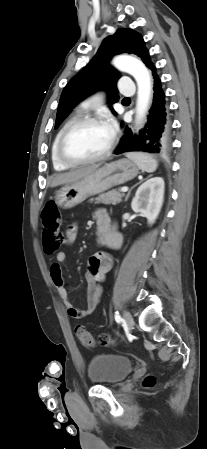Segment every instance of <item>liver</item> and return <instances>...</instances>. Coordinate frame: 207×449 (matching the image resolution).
Returning a JSON list of instances; mask_svg holds the SVG:
<instances>
[{
  "mask_svg": "<svg viewBox=\"0 0 207 449\" xmlns=\"http://www.w3.org/2000/svg\"><path fill=\"white\" fill-rule=\"evenodd\" d=\"M97 168H98V165H93V166L85 167V168L78 169L75 171L58 174L53 178L50 186L57 187V186L63 185V184H70L72 182H75V181L83 178L86 175H89L90 173L94 172Z\"/></svg>",
  "mask_w": 207,
  "mask_h": 449,
  "instance_id": "6515ba94",
  "label": "liver"
}]
</instances>
